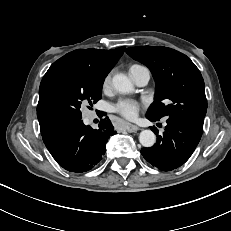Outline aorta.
<instances>
[{
    "instance_id": "762f6f07",
    "label": "aorta",
    "mask_w": 231,
    "mask_h": 231,
    "mask_svg": "<svg viewBox=\"0 0 231 231\" xmlns=\"http://www.w3.org/2000/svg\"><path fill=\"white\" fill-rule=\"evenodd\" d=\"M113 87L120 93L126 94L133 90V84L124 74H115L112 78ZM139 142L143 147H152L156 142V136L151 130H143L139 135Z\"/></svg>"
}]
</instances>
